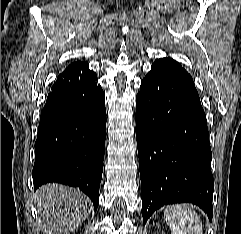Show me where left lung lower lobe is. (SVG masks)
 <instances>
[{
    "mask_svg": "<svg viewBox=\"0 0 241 234\" xmlns=\"http://www.w3.org/2000/svg\"><path fill=\"white\" fill-rule=\"evenodd\" d=\"M143 223L163 205L191 202L213 216L214 180L206 116L192 77L161 58L136 97Z\"/></svg>",
    "mask_w": 241,
    "mask_h": 234,
    "instance_id": "0a47b994",
    "label": "left lung lower lobe"
}]
</instances>
